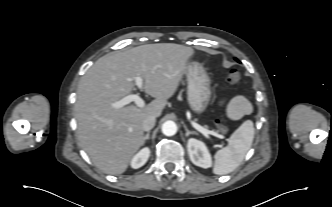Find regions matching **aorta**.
<instances>
[{
    "label": "aorta",
    "instance_id": "762f6f07",
    "mask_svg": "<svg viewBox=\"0 0 332 207\" xmlns=\"http://www.w3.org/2000/svg\"><path fill=\"white\" fill-rule=\"evenodd\" d=\"M162 132L166 136H173L177 132V125L173 121H166L162 125Z\"/></svg>",
    "mask_w": 332,
    "mask_h": 207
}]
</instances>
